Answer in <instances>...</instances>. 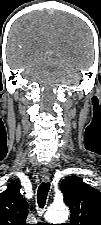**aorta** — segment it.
Here are the masks:
<instances>
[{"label": "aorta", "mask_w": 101, "mask_h": 225, "mask_svg": "<svg viewBox=\"0 0 101 225\" xmlns=\"http://www.w3.org/2000/svg\"><path fill=\"white\" fill-rule=\"evenodd\" d=\"M68 216L69 211L65 205H52L45 213V219L52 224H61Z\"/></svg>", "instance_id": "762f6f07"}]
</instances>
